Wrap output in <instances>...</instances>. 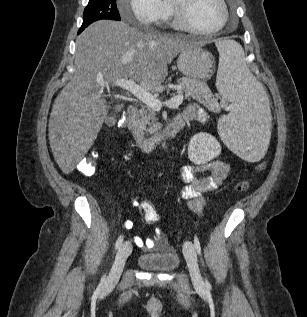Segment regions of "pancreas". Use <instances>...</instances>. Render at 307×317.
Returning <instances> with one entry per match:
<instances>
[{
  "label": "pancreas",
  "mask_w": 307,
  "mask_h": 317,
  "mask_svg": "<svg viewBox=\"0 0 307 317\" xmlns=\"http://www.w3.org/2000/svg\"><path fill=\"white\" fill-rule=\"evenodd\" d=\"M181 90L178 94H184L186 99L193 98L209 106L211 111H218L220 107L215 99L211 98L208 88L199 80L182 77L178 80ZM132 128L138 129L142 136L152 135L151 139L157 141L161 138L158 131L161 124L154 109L149 106H142L138 113L131 119Z\"/></svg>",
  "instance_id": "cf45deb5"
}]
</instances>
